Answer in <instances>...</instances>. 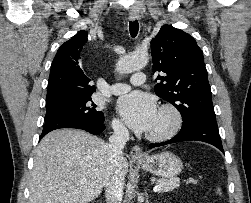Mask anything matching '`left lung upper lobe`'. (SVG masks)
Wrapping results in <instances>:
<instances>
[{
  "mask_svg": "<svg viewBox=\"0 0 251 203\" xmlns=\"http://www.w3.org/2000/svg\"><path fill=\"white\" fill-rule=\"evenodd\" d=\"M155 93L182 115V128L197 123L217 126L203 52L192 36L163 25L151 41Z\"/></svg>",
  "mask_w": 251,
  "mask_h": 203,
  "instance_id": "5c2ea615",
  "label": "left lung upper lobe"
}]
</instances>
